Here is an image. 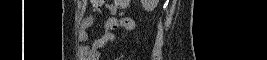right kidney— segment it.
<instances>
[{
    "instance_id": "1",
    "label": "right kidney",
    "mask_w": 267,
    "mask_h": 60,
    "mask_svg": "<svg viewBox=\"0 0 267 60\" xmlns=\"http://www.w3.org/2000/svg\"><path fill=\"white\" fill-rule=\"evenodd\" d=\"M141 3L144 10L151 12L157 7L159 0H141Z\"/></svg>"
}]
</instances>
